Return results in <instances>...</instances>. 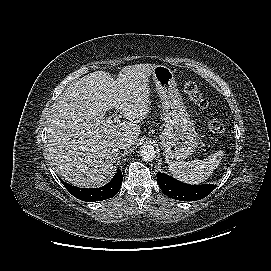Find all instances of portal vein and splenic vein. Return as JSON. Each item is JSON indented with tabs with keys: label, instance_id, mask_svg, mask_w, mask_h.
<instances>
[{
	"label": "portal vein and splenic vein",
	"instance_id": "obj_1",
	"mask_svg": "<svg viewBox=\"0 0 271 271\" xmlns=\"http://www.w3.org/2000/svg\"><path fill=\"white\" fill-rule=\"evenodd\" d=\"M119 119H120L119 116H115L112 120L109 118L108 121H109V122L118 123V122H119Z\"/></svg>",
	"mask_w": 271,
	"mask_h": 271
}]
</instances>
